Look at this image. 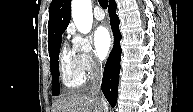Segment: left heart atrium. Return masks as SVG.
<instances>
[{"instance_id":"left-heart-atrium-1","label":"left heart atrium","mask_w":193,"mask_h":112,"mask_svg":"<svg viewBox=\"0 0 193 112\" xmlns=\"http://www.w3.org/2000/svg\"><path fill=\"white\" fill-rule=\"evenodd\" d=\"M111 42L109 30L104 26L98 27L94 33V46L95 53L99 59H104L108 55Z\"/></svg>"}]
</instances>
